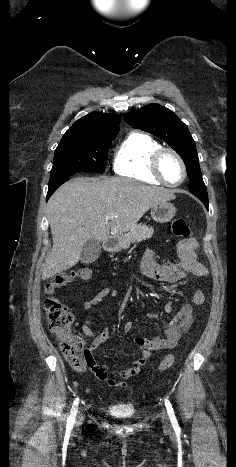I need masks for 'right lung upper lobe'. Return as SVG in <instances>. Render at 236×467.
I'll return each instance as SVG.
<instances>
[{
	"instance_id": "cb5924a9",
	"label": "right lung upper lobe",
	"mask_w": 236,
	"mask_h": 467,
	"mask_svg": "<svg viewBox=\"0 0 236 467\" xmlns=\"http://www.w3.org/2000/svg\"><path fill=\"white\" fill-rule=\"evenodd\" d=\"M120 116L105 113H91L77 120L66 133L99 134L118 133Z\"/></svg>"
}]
</instances>
